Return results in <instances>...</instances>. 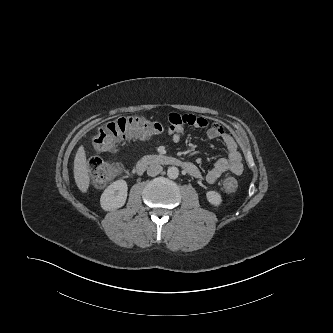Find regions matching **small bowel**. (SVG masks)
Listing matches in <instances>:
<instances>
[{"label": "small bowel", "instance_id": "1", "mask_svg": "<svg viewBox=\"0 0 333 333\" xmlns=\"http://www.w3.org/2000/svg\"><path fill=\"white\" fill-rule=\"evenodd\" d=\"M169 122V134L174 143L180 142L185 126L204 128L206 129V135L209 139L221 140L224 143L227 149V157L218 159L214 167L206 173L205 180L207 183L214 184L226 171H230L235 175H240L243 172L242 158L237 143L222 126L216 123L210 124L207 119L202 117L187 114L182 115L178 113H172L169 116ZM186 163L188 164L187 171L189 174L195 178H200L201 173L197 166L192 162Z\"/></svg>", "mask_w": 333, "mask_h": 333}]
</instances>
